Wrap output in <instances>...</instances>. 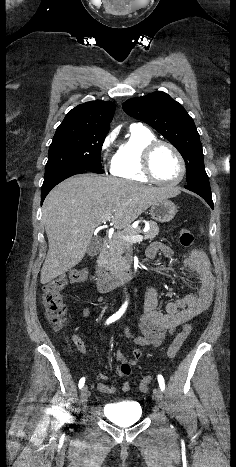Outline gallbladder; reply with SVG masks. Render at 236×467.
<instances>
[{"instance_id":"obj_1","label":"gallbladder","mask_w":236,"mask_h":467,"mask_svg":"<svg viewBox=\"0 0 236 467\" xmlns=\"http://www.w3.org/2000/svg\"><path fill=\"white\" fill-rule=\"evenodd\" d=\"M101 247H102L101 239L92 238L87 247V254L89 256H96L101 251Z\"/></svg>"}]
</instances>
